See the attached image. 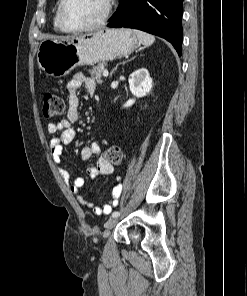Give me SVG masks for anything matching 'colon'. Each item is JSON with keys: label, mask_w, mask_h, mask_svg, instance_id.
<instances>
[{"label": "colon", "mask_w": 247, "mask_h": 296, "mask_svg": "<svg viewBox=\"0 0 247 296\" xmlns=\"http://www.w3.org/2000/svg\"><path fill=\"white\" fill-rule=\"evenodd\" d=\"M65 103L60 93L46 92L43 101V115L46 119H55L64 112ZM105 160L113 166H120L123 162V154L118 146H110L104 153Z\"/></svg>", "instance_id": "colon-1"}]
</instances>
